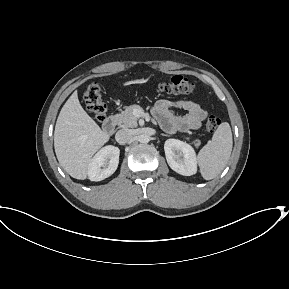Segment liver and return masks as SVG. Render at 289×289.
Wrapping results in <instances>:
<instances>
[{"instance_id": "obj_1", "label": "liver", "mask_w": 289, "mask_h": 289, "mask_svg": "<svg viewBox=\"0 0 289 289\" xmlns=\"http://www.w3.org/2000/svg\"><path fill=\"white\" fill-rule=\"evenodd\" d=\"M110 136L84 111L75 91L62 107L54 130V148L60 166L84 180L92 156Z\"/></svg>"}]
</instances>
